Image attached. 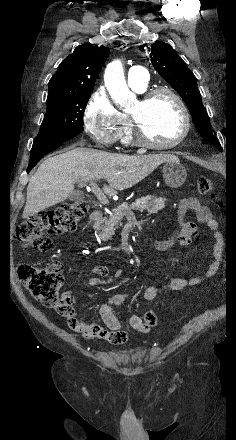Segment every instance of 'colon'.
<instances>
[{
  "label": "colon",
  "instance_id": "5ec220e1",
  "mask_svg": "<svg viewBox=\"0 0 236 440\" xmlns=\"http://www.w3.org/2000/svg\"><path fill=\"white\" fill-rule=\"evenodd\" d=\"M197 190L200 194H209L212 182L207 177H199ZM88 209L84 200L65 203L55 210L39 212L20 223L16 235L19 242L27 248L48 252L53 247L51 235L74 232ZM19 280L28 292L40 303L56 309L62 316L66 314L69 302L60 293L64 278L57 264L39 267L32 263L18 265ZM69 321H80L67 319ZM158 319L154 312L149 311L144 316V324L152 327Z\"/></svg>",
  "mask_w": 236,
  "mask_h": 440
}]
</instances>
